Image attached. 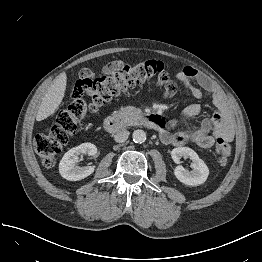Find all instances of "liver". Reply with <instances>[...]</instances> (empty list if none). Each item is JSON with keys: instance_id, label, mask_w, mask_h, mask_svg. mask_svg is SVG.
<instances>
[{"instance_id": "obj_1", "label": "liver", "mask_w": 262, "mask_h": 262, "mask_svg": "<svg viewBox=\"0 0 262 262\" xmlns=\"http://www.w3.org/2000/svg\"><path fill=\"white\" fill-rule=\"evenodd\" d=\"M67 76L63 72L56 77L53 84L47 90L36 115L37 121H42L51 116L61 104L65 95Z\"/></svg>"}]
</instances>
